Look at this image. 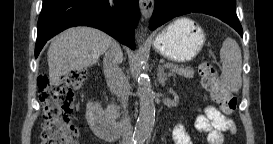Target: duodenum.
Masks as SVG:
<instances>
[{
  "instance_id": "410a0bca",
  "label": "duodenum",
  "mask_w": 273,
  "mask_h": 144,
  "mask_svg": "<svg viewBox=\"0 0 273 144\" xmlns=\"http://www.w3.org/2000/svg\"><path fill=\"white\" fill-rule=\"evenodd\" d=\"M87 119L92 131L105 141H116L122 135L121 128L104 111L101 102L96 97L89 105Z\"/></svg>"
}]
</instances>
